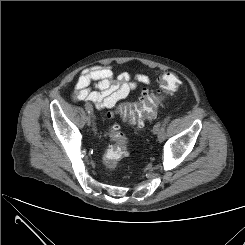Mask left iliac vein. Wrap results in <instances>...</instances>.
<instances>
[{
	"instance_id": "obj_1",
	"label": "left iliac vein",
	"mask_w": 245,
	"mask_h": 245,
	"mask_svg": "<svg viewBox=\"0 0 245 245\" xmlns=\"http://www.w3.org/2000/svg\"><path fill=\"white\" fill-rule=\"evenodd\" d=\"M161 125H162V123H161V122H158V123L154 126V128H153V133H154V134H158V139H159V141L164 140V138L161 136L160 131H159V128L161 127Z\"/></svg>"
}]
</instances>
